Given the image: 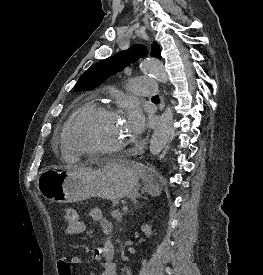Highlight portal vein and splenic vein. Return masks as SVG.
I'll use <instances>...</instances> for the list:
<instances>
[{"label": "portal vein and splenic vein", "mask_w": 263, "mask_h": 275, "mask_svg": "<svg viewBox=\"0 0 263 275\" xmlns=\"http://www.w3.org/2000/svg\"><path fill=\"white\" fill-rule=\"evenodd\" d=\"M122 211H123V212H127V211H128V207H127V206H123V207H122Z\"/></svg>", "instance_id": "obj_1"}]
</instances>
